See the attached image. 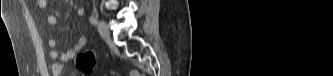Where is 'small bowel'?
<instances>
[{
  "instance_id": "c3829d8e",
  "label": "small bowel",
  "mask_w": 333,
  "mask_h": 76,
  "mask_svg": "<svg viewBox=\"0 0 333 76\" xmlns=\"http://www.w3.org/2000/svg\"><path fill=\"white\" fill-rule=\"evenodd\" d=\"M37 5L40 8H46L48 5L47 0H37ZM84 14V8L80 7L76 10L77 16H82ZM46 21L51 26H56L57 19L53 15H49L46 18ZM88 42V37L86 32H82L81 35L78 38V41L75 45H73L68 50L61 52L57 49L58 43L56 40L51 39L48 41V46L50 48V58L54 61V64L52 65V73L54 76H61L63 73V62H70L74 59L77 52L82 49Z\"/></svg>"
}]
</instances>
